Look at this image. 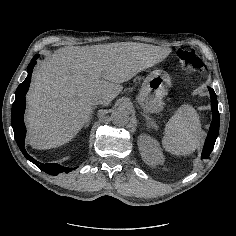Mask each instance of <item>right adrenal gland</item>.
Masks as SVG:
<instances>
[{
    "mask_svg": "<svg viewBox=\"0 0 236 236\" xmlns=\"http://www.w3.org/2000/svg\"><path fill=\"white\" fill-rule=\"evenodd\" d=\"M96 108V106H94V107H92V110H94ZM90 118H92V115L90 116ZM90 122V121H89ZM89 122L88 123H86V126H88L89 125Z\"/></svg>",
    "mask_w": 236,
    "mask_h": 236,
    "instance_id": "2a0ac1e0",
    "label": "right adrenal gland"
}]
</instances>
